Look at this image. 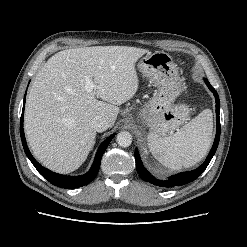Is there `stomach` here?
I'll return each mask as SVG.
<instances>
[{
    "label": "stomach",
    "mask_w": 247,
    "mask_h": 247,
    "mask_svg": "<svg viewBox=\"0 0 247 247\" xmlns=\"http://www.w3.org/2000/svg\"><path fill=\"white\" fill-rule=\"evenodd\" d=\"M138 69L154 83L156 91L135 113L136 126L143 132L149 129V135H168L184 124L189 115L187 107L175 104L183 91L177 67L168 53L158 51L143 57Z\"/></svg>",
    "instance_id": "obj_1"
}]
</instances>
